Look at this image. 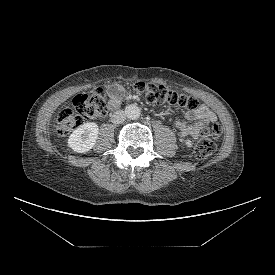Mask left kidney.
I'll use <instances>...</instances> for the list:
<instances>
[{"label":"left kidney","instance_id":"left-kidney-1","mask_svg":"<svg viewBox=\"0 0 275 275\" xmlns=\"http://www.w3.org/2000/svg\"><path fill=\"white\" fill-rule=\"evenodd\" d=\"M186 145H187V147H191L192 146V143H191V141L190 140H186Z\"/></svg>","mask_w":275,"mask_h":275}]
</instances>
